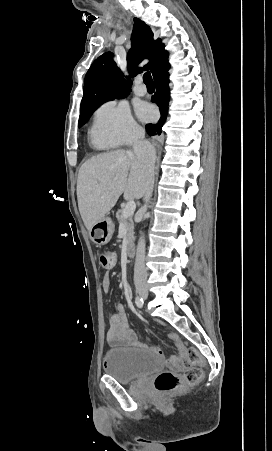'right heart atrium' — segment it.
Returning a JSON list of instances; mask_svg holds the SVG:
<instances>
[{
  "instance_id": "right-heart-atrium-1",
  "label": "right heart atrium",
  "mask_w": 272,
  "mask_h": 451,
  "mask_svg": "<svg viewBox=\"0 0 272 451\" xmlns=\"http://www.w3.org/2000/svg\"><path fill=\"white\" fill-rule=\"evenodd\" d=\"M138 129V124L125 105L109 102L97 110L91 136L96 144L126 145L135 138Z\"/></svg>"
}]
</instances>
